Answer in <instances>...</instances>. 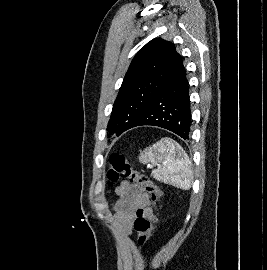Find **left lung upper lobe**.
I'll use <instances>...</instances> for the list:
<instances>
[{"mask_svg":"<svg viewBox=\"0 0 267 270\" xmlns=\"http://www.w3.org/2000/svg\"><path fill=\"white\" fill-rule=\"evenodd\" d=\"M179 58L175 46L161 38L138 51L114 102L109 132L119 136L130 129L167 83Z\"/></svg>","mask_w":267,"mask_h":270,"instance_id":"1","label":"left lung upper lobe"}]
</instances>
